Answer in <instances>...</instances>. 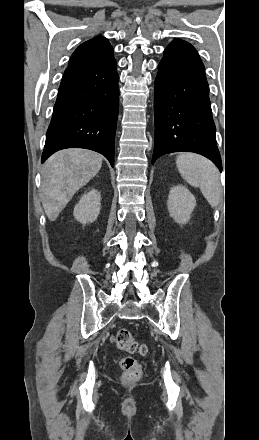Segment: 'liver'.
Listing matches in <instances>:
<instances>
[{"mask_svg": "<svg viewBox=\"0 0 259 440\" xmlns=\"http://www.w3.org/2000/svg\"><path fill=\"white\" fill-rule=\"evenodd\" d=\"M102 156L87 149L53 154L42 169L41 198L50 221H55L74 194L101 169Z\"/></svg>", "mask_w": 259, "mask_h": 440, "instance_id": "liver-1", "label": "liver"}]
</instances>
